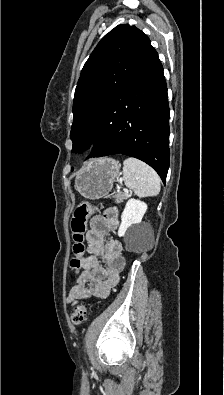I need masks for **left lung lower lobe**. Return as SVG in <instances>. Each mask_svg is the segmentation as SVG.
<instances>
[{"mask_svg": "<svg viewBox=\"0 0 224 395\" xmlns=\"http://www.w3.org/2000/svg\"><path fill=\"white\" fill-rule=\"evenodd\" d=\"M169 132L167 86L154 51L104 111L90 157L124 154L138 158L165 183Z\"/></svg>", "mask_w": 224, "mask_h": 395, "instance_id": "obj_1", "label": "left lung lower lobe"}]
</instances>
